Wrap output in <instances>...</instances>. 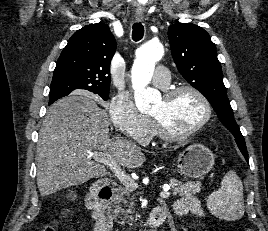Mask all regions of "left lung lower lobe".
Segmentation results:
<instances>
[{"mask_svg":"<svg viewBox=\"0 0 268 231\" xmlns=\"http://www.w3.org/2000/svg\"><path fill=\"white\" fill-rule=\"evenodd\" d=\"M243 156L245 157L246 161L249 163L247 151H242Z\"/></svg>","mask_w":268,"mask_h":231,"instance_id":"left-lung-lower-lobe-1","label":"left lung lower lobe"}]
</instances>
